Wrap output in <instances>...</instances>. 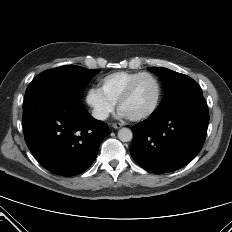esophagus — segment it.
I'll return each instance as SVG.
<instances>
[{
	"mask_svg": "<svg viewBox=\"0 0 232 232\" xmlns=\"http://www.w3.org/2000/svg\"><path fill=\"white\" fill-rule=\"evenodd\" d=\"M112 127L115 128V129H119V128L122 127V124H120V123H113Z\"/></svg>",
	"mask_w": 232,
	"mask_h": 232,
	"instance_id": "1",
	"label": "esophagus"
}]
</instances>
